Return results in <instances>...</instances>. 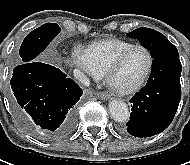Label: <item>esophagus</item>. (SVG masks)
I'll return each mask as SVG.
<instances>
[{"label":"esophagus","mask_w":190,"mask_h":165,"mask_svg":"<svg viewBox=\"0 0 190 165\" xmlns=\"http://www.w3.org/2000/svg\"><path fill=\"white\" fill-rule=\"evenodd\" d=\"M99 98L103 99V100H107L110 98V95L107 92H101V93H99Z\"/></svg>","instance_id":"obj_1"}]
</instances>
